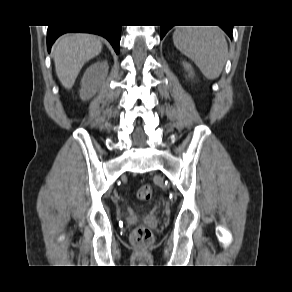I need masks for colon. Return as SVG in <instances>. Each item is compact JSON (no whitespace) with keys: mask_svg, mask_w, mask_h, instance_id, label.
I'll return each mask as SVG.
<instances>
[{"mask_svg":"<svg viewBox=\"0 0 292 292\" xmlns=\"http://www.w3.org/2000/svg\"><path fill=\"white\" fill-rule=\"evenodd\" d=\"M136 196L139 200L148 201L152 197V188L150 185H143L139 187L136 191ZM153 235L151 230L144 226L140 225L136 227L131 233V241L136 245L148 244L152 241Z\"/></svg>","mask_w":292,"mask_h":292,"instance_id":"5ec220e1","label":"colon"}]
</instances>
